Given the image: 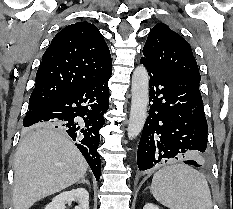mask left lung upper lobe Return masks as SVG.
<instances>
[{"instance_id":"left-lung-upper-lobe-1","label":"left lung upper lobe","mask_w":233,"mask_h":209,"mask_svg":"<svg viewBox=\"0 0 233 209\" xmlns=\"http://www.w3.org/2000/svg\"><path fill=\"white\" fill-rule=\"evenodd\" d=\"M143 55V58L163 69L200 83L197 62L189 43L164 23L156 24L150 30Z\"/></svg>"}]
</instances>
